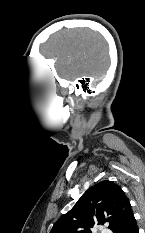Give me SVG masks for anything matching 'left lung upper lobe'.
Returning <instances> with one entry per match:
<instances>
[{"label": "left lung upper lobe", "mask_w": 145, "mask_h": 233, "mask_svg": "<svg viewBox=\"0 0 145 233\" xmlns=\"http://www.w3.org/2000/svg\"><path fill=\"white\" fill-rule=\"evenodd\" d=\"M134 220L123 190L104 180L90 187L75 206L58 219L50 233H92L94 225L105 222L114 233H125Z\"/></svg>", "instance_id": "obj_1"}]
</instances>
